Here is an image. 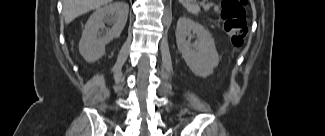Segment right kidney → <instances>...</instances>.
I'll use <instances>...</instances> for the list:
<instances>
[{
  "label": "right kidney",
  "instance_id": "obj_1",
  "mask_svg": "<svg viewBox=\"0 0 325 136\" xmlns=\"http://www.w3.org/2000/svg\"><path fill=\"white\" fill-rule=\"evenodd\" d=\"M129 6L123 1H116L98 8L88 19L79 42V52L83 58L93 63L105 53V45L120 37L128 17ZM105 23L112 25L101 37L99 30Z\"/></svg>",
  "mask_w": 325,
  "mask_h": 136
}]
</instances>
